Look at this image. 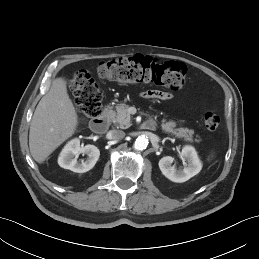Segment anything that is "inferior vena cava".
Listing matches in <instances>:
<instances>
[{
    "mask_svg": "<svg viewBox=\"0 0 259 259\" xmlns=\"http://www.w3.org/2000/svg\"><path fill=\"white\" fill-rule=\"evenodd\" d=\"M108 137L113 140H121L125 137V132L122 130H110L108 132Z\"/></svg>",
    "mask_w": 259,
    "mask_h": 259,
    "instance_id": "obj_1",
    "label": "inferior vena cava"
}]
</instances>
